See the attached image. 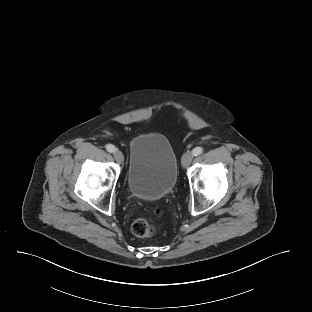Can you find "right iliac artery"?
<instances>
[{"label":"right iliac artery","mask_w":312,"mask_h":312,"mask_svg":"<svg viewBox=\"0 0 312 312\" xmlns=\"http://www.w3.org/2000/svg\"><path fill=\"white\" fill-rule=\"evenodd\" d=\"M106 149H107V151L110 152V153H112V152H114V151L116 150V149H115V146L112 145V144L106 145Z\"/></svg>","instance_id":"obj_1"}]
</instances>
